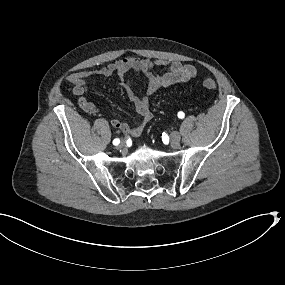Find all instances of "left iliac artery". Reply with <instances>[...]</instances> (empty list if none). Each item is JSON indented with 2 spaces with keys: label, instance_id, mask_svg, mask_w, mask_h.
Wrapping results in <instances>:
<instances>
[{
  "label": "left iliac artery",
  "instance_id": "44dca946",
  "mask_svg": "<svg viewBox=\"0 0 285 285\" xmlns=\"http://www.w3.org/2000/svg\"><path fill=\"white\" fill-rule=\"evenodd\" d=\"M184 116H185V114L182 112V111H180V112H178V117L179 118H184Z\"/></svg>",
  "mask_w": 285,
  "mask_h": 285
}]
</instances>
